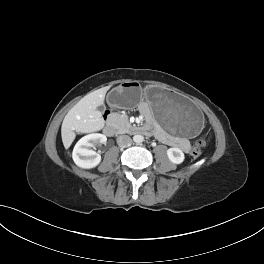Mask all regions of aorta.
Listing matches in <instances>:
<instances>
[{
	"instance_id": "aorta-1",
	"label": "aorta",
	"mask_w": 264,
	"mask_h": 264,
	"mask_svg": "<svg viewBox=\"0 0 264 264\" xmlns=\"http://www.w3.org/2000/svg\"><path fill=\"white\" fill-rule=\"evenodd\" d=\"M143 136L142 135H135L134 137H133V140H134V142H136V143H141L142 141H143Z\"/></svg>"
}]
</instances>
